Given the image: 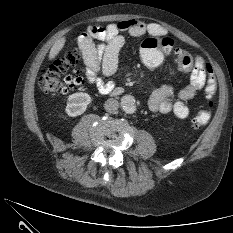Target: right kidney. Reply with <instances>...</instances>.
Masks as SVG:
<instances>
[{"instance_id": "ca27d5eb", "label": "right kidney", "mask_w": 233, "mask_h": 233, "mask_svg": "<svg viewBox=\"0 0 233 233\" xmlns=\"http://www.w3.org/2000/svg\"><path fill=\"white\" fill-rule=\"evenodd\" d=\"M91 103V97L87 93H74L68 97L65 112L68 116L75 117L83 114Z\"/></svg>"}]
</instances>
